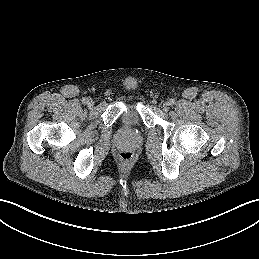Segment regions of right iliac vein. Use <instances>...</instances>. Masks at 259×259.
Instances as JSON below:
<instances>
[{"mask_svg": "<svg viewBox=\"0 0 259 259\" xmlns=\"http://www.w3.org/2000/svg\"><path fill=\"white\" fill-rule=\"evenodd\" d=\"M87 105L89 107H93L94 106V101L92 99L88 100Z\"/></svg>", "mask_w": 259, "mask_h": 259, "instance_id": "right-iliac-vein-1", "label": "right iliac vein"}]
</instances>
